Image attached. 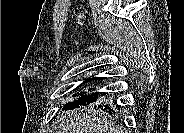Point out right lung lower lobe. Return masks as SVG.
<instances>
[{"label":"right lung lower lobe","mask_w":184,"mask_h":133,"mask_svg":"<svg viewBox=\"0 0 184 133\" xmlns=\"http://www.w3.org/2000/svg\"><path fill=\"white\" fill-rule=\"evenodd\" d=\"M103 96H105V94H102V95L99 97V99H98L99 102L102 100V97H103Z\"/></svg>","instance_id":"obj_1"}]
</instances>
